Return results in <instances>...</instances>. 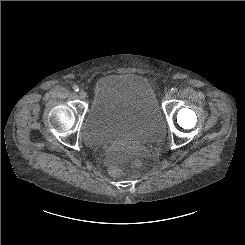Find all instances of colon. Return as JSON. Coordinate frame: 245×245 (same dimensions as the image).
I'll use <instances>...</instances> for the list:
<instances>
[{
  "label": "colon",
  "mask_w": 245,
  "mask_h": 245,
  "mask_svg": "<svg viewBox=\"0 0 245 245\" xmlns=\"http://www.w3.org/2000/svg\"><path fill=\"white\" fill-rule=\"evenodd\" d=\"M142 167H143V162L140 160H134L129 165L130 170H137V169H140ZM109 172L113 176H118V175L122 174L123 170L118 165H112L109 169Z\"/></svg>",
  "instance_id": "1"
}]
</instances>
